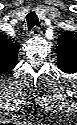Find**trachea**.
<instances>
[{"mask_svg": "<svg viewBox=\"0 0 77 125\" xmlns=\"http://www.w3.org/2000/svg\"><path fill=\"white\" fill-rule=\"evenodd\" d=\"M28 23V31H31L33 28L38 27L39 21L35 12H30L26 16Z\"/></svg>", "mask_w": 77, "mask_h": 125, "instance_id": "trachea-1", "label": "trachea"}]
</instances>
